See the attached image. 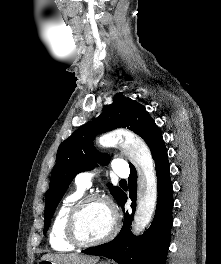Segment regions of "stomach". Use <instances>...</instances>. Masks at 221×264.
Here are the masks:
<instances>
[{"label": "stomach", "instance_id": "1", "mask_svg": "<svg viewBox=\"0 0 221 264\" xmlns=\"http://www.w3.org/2000/svg\"><path fill=\"white\" fill-rule=\"evenodd\" d=\"M38 264H58L54 261H50V260H40ZM99 264H108L107 262H101Z\"/></svg>", "mask_w": 221, "mask_h": 264}]
</instances>
